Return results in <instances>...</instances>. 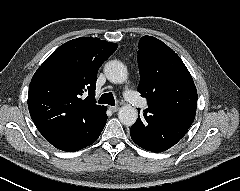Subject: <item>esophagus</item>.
Listing matches in <instances>:
<instances>
[{
	"label": "esophagus",
	"instance_id": "obj_1",
	"mask_svg": "<svg viewBox=\"0 0 240 191\" xmlns=\"http://www.w3.org/2000/svg\"><path fill=\"white\" fill-rule=\"evenodd\" d=\"M109 109H110L113 113H115V112H117V111L119 110V107H118V106H110Z\"/></svg>",
	"mask_w": 240,
	"mask_h": 191
}]
</instances>
